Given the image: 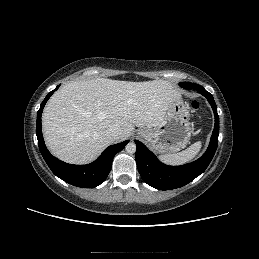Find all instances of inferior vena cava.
I'll list each match as a JSON object with an SVG mask.
<instances>
[{
  "mask_svg": "<svg viewBox=\"0 0 259 259\" xmlns=\"http://www.w3.org/2000/svg\"><path fill=\"white\" fill-rule=\"evenodd\" d=\"M106 137L115 142V140L119 137L120 135V129L118 127H115V126H111L110 128H108L106 130V133H105Z\"/></svg>",
  "mask_w": 259,
  "mask_h": 259,
  "instance_id": "inferior-vena-cava-1",
  "label": "inferior vena cava"
}]
</instances>
